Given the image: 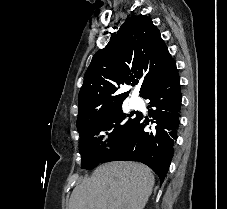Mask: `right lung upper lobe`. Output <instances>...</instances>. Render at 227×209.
<instances>
[{
	"label": "right lung upper lobe",
	"instance_id": "right-lung-upper-lobe-1",
	"mask_svg": "<svg viewBox=\"0 0 227 209\" xmlns=\"http://www.w3.org/2000/svg\"><path fill=\"white\" fill-rule=\"evenodd\" d=\"M174 62L152 20L145 15L130 17L93 56L79 92L78 118L100 114L108 99H125L129 92L117 94V89L133 84L135 78L142 82L143 97L158 77L156 69Z\"/></svg>",
	"mask_w": 227,
	"mask_h": 209
}]
</instances>
